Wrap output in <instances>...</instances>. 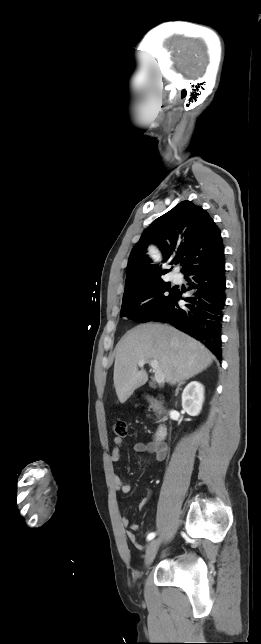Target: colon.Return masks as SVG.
I'll return each mask as SVG.
<instances>
[{
  "label": "colon",
  "mask_w": 261,
  "mask_h": 644,
  "mask_svg": "<svg viewBox=\"0 0 261 644\" xmlns=\"http://www.w3.org/2000/svg\"><path fill=\"white\" fill-rule=\"evenodd\" d=\"M114 433L118 438H124L127 436V423L125 421L119 420L114 424Z\"/></svg>",
  "instance_id": "5ec220e1"
}]
</instances>
